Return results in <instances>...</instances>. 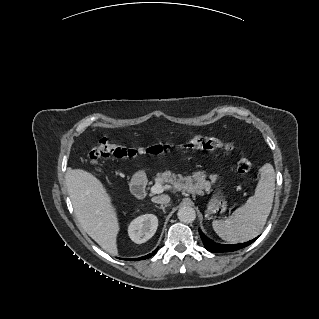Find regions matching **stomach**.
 Returning <instances> with one entry per match:
<instances>
[{
  "instance_id": "stomach-1",
  "label": "stomach",
  "mask_w": 319,
  "mask_h": 319,
  "mask_svg": "<svg viewBox=\"0 0 319 319\" xmlns=\"http://www.w3.org/2000/svg\"><path fill=\"white\" fill-rule=\"evenodd\" d=\"M212 203V208H214L217 212L223 213L225 211V204L222 202V200L217 199Z\"/></svg>"
}]
</instances>
